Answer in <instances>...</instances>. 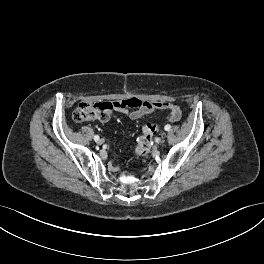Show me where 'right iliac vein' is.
<instances>
[{
	"label": "right iliac vein",
	"instance_id": "right-iliac-vein-1",
	"mask_svg": "<svg viewBox=\"0 0 264 264\" xmlns=\"http://www.w3.org/2000/svg\"><path fill=\"white\" fill-rule=\"evenodd\" d=\"M97 142V144H99V145H101V144H103L104 143V140L103 139H99L98 141H96Z\"/></svg>",
	"mask_w": 264,
	"mask_h": 264
}]
</instances>
